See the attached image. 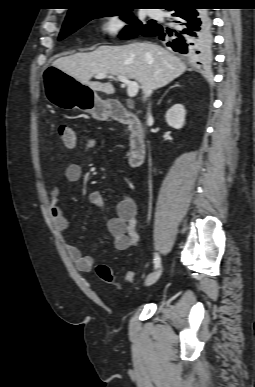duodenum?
Instances as JSON below:
<instances>
[{
	"label": "duodenum",
	"mask_w": 255,
	"mask_h": 387,
	"mask_svg": "<svg viewBox=\"0 0 255 387\" xmlns=\"http://www.w3.org/2000/svg\"><path fill=\"white\" fill-rule=\"evenodd\" d=\"M109 117L126 125L129 130L128 165L131 168L139 167L145 158L146 144L144 131L139 119L128 112L121 104L112 103L109 107Z\"/></svg>",
	"instance_id": "410a0bca"
}]
</instances>
